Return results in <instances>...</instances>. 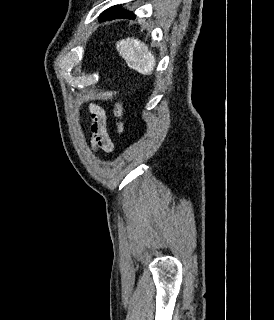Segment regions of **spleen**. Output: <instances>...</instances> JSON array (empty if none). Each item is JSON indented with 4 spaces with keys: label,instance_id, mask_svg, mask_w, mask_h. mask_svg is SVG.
Wrapping results in <instances>:
<instances>
[{
    "label": "spleen",
    "instance_id": "spleen-1",
    "mask_svg": "<svg viewBox=\"0 0 274 320\" xmlns=\"http://www.w3.org/2000/svg\"><path fill=\"white\" fill-rule=\"evenodd\" d=\"M116 48L129 68L143 76H151L156 66V58L144 42L135 38H126L117 42Z\"/></svg>",
    "mask_w": 274,
    "mask_h": 320
}]
</instances>
